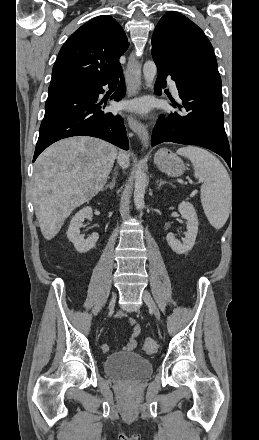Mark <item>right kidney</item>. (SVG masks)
<instances>
[{"instance_id":"ca27d5eb","label":"right kidney","mask_w":259,"mask_h":440,"mask_svg":"<svg viewBox=\"0 0 259 440\" xmlns=\"http://www.w3.org/2000/svg\"><path fill=\"white\" fill-rule=\"evenodd\" d=\"M93 216L91 207H84L76 215L72 218L68 231L67 237L70 242L74 244L75 249L79 253H86L95 247L99 235L98 233H93L87 239H84V236L80 234V228L82 227V222L85 219H90Z\"/></svg>"}]
</instances>
